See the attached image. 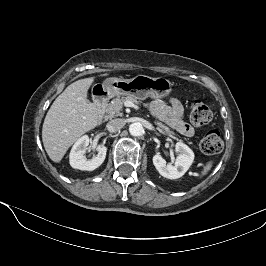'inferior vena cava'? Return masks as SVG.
Listing matches in <instances>:
<instances>
[{
	"label": "inferior vena cava",
	"mask_w": 266,
	"mask_h": 266,
	"mask_svg": "<svg viewBox=\"0 0 266 266\" xmlns=\"http://www.w3.org/2000/svg\"><path fill=\"white\" fill-rule=\"evenodd\" d=\"M125 125V120L122 118H116L108 122L107 129L109 132H116L123 128Z\"/></svg>",
	"instance_id": "obj_1"
}]
</instances>
